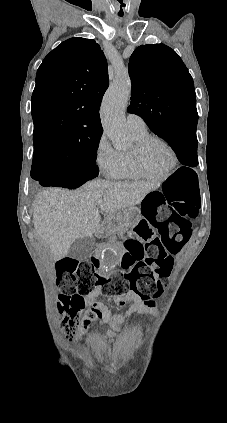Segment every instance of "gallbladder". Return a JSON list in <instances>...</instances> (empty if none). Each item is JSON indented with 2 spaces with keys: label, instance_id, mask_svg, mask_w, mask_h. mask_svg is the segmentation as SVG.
<instances>
[{
  "label": "gallbladder",
  "instance_id": "gallbladder-1",
  "mask_svg": "<svg viewBox=\"0 0 227 423\" xmlns=\"http://www.w3.org/2000/svg\"><path fill=\"white\" fill-rule=\"evenodd\" d=\"M94 245L95 237L93 235L91 237H79V239H75L74 243H72L69 249V255L70 257H74V259L83 261V259H87L91 255Z\"/></svg>",
  "mask_w": 227,
  "mask_h": 423
}]
</instances>
